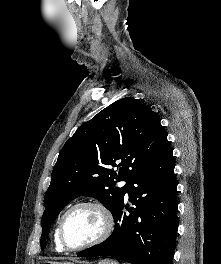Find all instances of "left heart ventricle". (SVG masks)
Returning <instances> with one entry per match:
<instances>
[{"label":"left heart ventricle","mask_w":221,"mask_h":264,"mask_svg":"<svg viewBox=\"0 0 221 264\" xmlns=\"http://www.w3.org/2000/svg\"><path fill=\"white\" fill-rule=\"evenodd\" d=\"M103 230L101 215L92 208L81 207L72 211L64 223V238L70 246H80L96 239Z\"/></svg>","instance_id":"obj_1"}]
</instances>
